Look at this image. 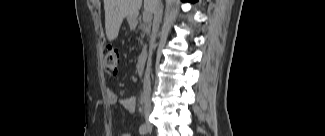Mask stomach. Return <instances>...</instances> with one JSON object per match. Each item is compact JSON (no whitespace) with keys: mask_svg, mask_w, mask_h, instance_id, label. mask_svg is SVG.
<instances>
[{"mask_svg":"<svg viewBox=\"0 0 325 136\" xmlns=\"http://www.w3.org/2000/svg\"><path fill=\"white\" fill-rule=\"evenodd\" d=\"M127 20H128L129 24H130L132 27H135V25H136V18H135V17L128 16V17H127Z\"/></svg>","mask_w":325,"mask_h":136,"instance_id":"0dacf381","label":"stomach"}]
</instances>
